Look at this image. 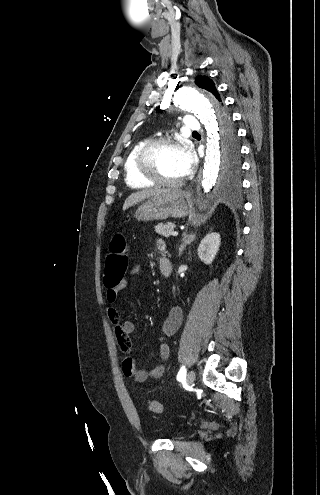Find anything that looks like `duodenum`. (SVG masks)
I'll return each mask as SVG.
<instances>
[{
  "label": "duodenum",
  "mask_w": 320,
  "mask_h": 495,
  "mask_svg": "<svg viewBox=\"0 0 320 495\" xmlns=\"http://www.w3.org/2000/svg\"><path fill=\"white\" fill-rule=\"evenodd\" d=\"M162 254L163 255H162V258L160 259V263H159L160 271L164 277H169L173 271V264H172V261L166 255L165 250H163Z\"/></svg>",
  "instance_id": "410a0bca"
}]
</instances>
